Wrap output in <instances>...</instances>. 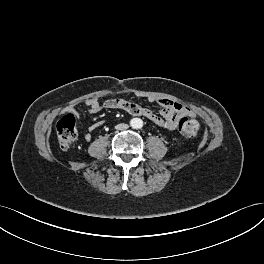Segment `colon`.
Returning a JSON list of instances; mask_svg holds the SVG:
<instances>
[{"label": "colon", "mask_w": 264, "mask_h": 264, "mask_svg": "<svg viewBox=\"0 0 264 264\" xmlns=\"http://www.w3.org/2000/svg\"><path fill=\"white\" fill-rule=\"evenodd\" d=\"M56 131L62 149H69L77 138L76 119L73 113H66L56 124ZM179 131L187 139H193L199 131L196 119L183 117L179 122Z\"/></svg>", "instance_id": "colon-1"}]
</instances>
